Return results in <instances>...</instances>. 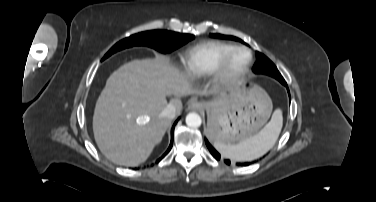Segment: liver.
Here are the masks:
<instances>
[{"mask_svg":"<svg viewBox=\"0 0 376 202\" xmlns=\"http://www.w3.org/2000/svg\"><path fill=\"white\" fill-rule=\"evenodd\" d=\"M207 91L194 90L186 75L170 58L156 54L154 59L130 61L108 78L97 100L93 116L95 141L104 156L123 166L145 162L171 125L161 117L169 104L180 114V97Z\"/></svg>","mask_w":376,"mask_h":202,"instance_id":"obj_1","label":"liver"}]
</instances>
